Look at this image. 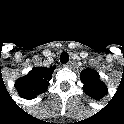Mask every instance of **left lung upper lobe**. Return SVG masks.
Listing matches in <instances>:
<instances>
[{"label": "left lung upper lobe", "mask_w": 124, "mask_h": 124, "mask_svg": "<svg viewBox=\"0 0 124 124\" xmlns=\"http://www.w3.org/2000/svg\"><path fill=\"white\" fill-rule=\"evenodd\" d=\"M84 92L94 99H99L106 92L105 84L100 80L98 72L85 69L80 74Z\"/></svg>", "instance_id": "1"}]
</instances>
